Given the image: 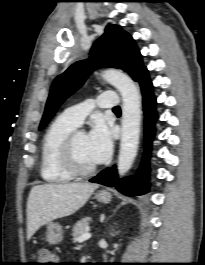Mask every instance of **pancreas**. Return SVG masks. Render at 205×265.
Segmentation results:
<instances>
[{"instance_id": "cf45deb5", "label": "pancreas", "mask_w": 205, "mask_h": 265, "mask_svg": "<svg viewBox=\"0 0 205 265\" xmlns=\"http://www.w3.org/2000/svg\"><path fill=\"white\" fill-rule=\"evenodd\" d=\"M89 221L90 218L86 217L83 218L81 220H79L72 229V237H73V242H76L77 239L84 234L85 232H87L88 228H89Z\"/></svg>"}]
</instances>
